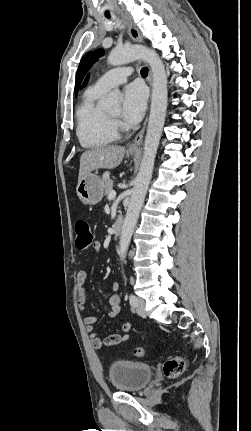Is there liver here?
Wrapping results in <instances>:
<instances>
[{
    "label": "liver",
    "instance_id": "liver-1",
    "mask_svg": "<svg viewBox=\"0 0 251 431\" xmlns=\"http://www.w3.org/2000/svg\"><path fill=\"white\" fill-rule=\"evenodd\" d=\"M125 155V148L107 145L85 151L80 158L78 182L97 169H114L120 165Z\"/></svg>",
    "mask_w": 251,
    "mask_h": 431
}]
</instances>
